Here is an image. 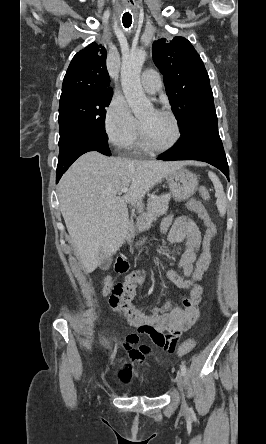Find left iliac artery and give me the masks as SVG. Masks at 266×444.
<instances>
[{"mask_svg": "<svg viewBox=\"0 0 266 444\" xmlns=\"http://www.w3.org/2000/svg\"><path fill=\"white\" fill-rule=\"evenodd\" d=\"M180 367H181V372H182L183 376H185L186 373H187V368H186V366L182 363Z\"/></svg>", "mask_w": 266, "mask_h": 444, "instance_id": "1", "label": "left iliac artery"}]
</instances>
